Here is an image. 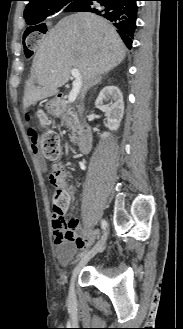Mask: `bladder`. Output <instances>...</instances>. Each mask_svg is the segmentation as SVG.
Here are the masks:
<instances>
[{"mask_svg":"<svg viewBox=\"0 0 183 329\" xmlns=\"http://www.w3.org/2000/svg\"><path fill=\"white\" fill-rule=\"evenodd\" d=\"M58 258L63 266H68L74 255H75V245L70 240H64L56 246Z\"/></svg>","mask_w":183,"mask_h":329,"instance_id":"31cf9c89","label":"bladder"}]
</instances>
